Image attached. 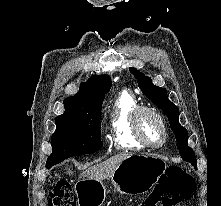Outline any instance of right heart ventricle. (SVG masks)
<instances>
[{
	"label": "right heart ventricle",
	"instance_id": "e07e8e85",
	"mask_svg": "<svg viewBox=\"0 0 221 206\" xmlns=\"http://www.w3.org/2000/svg\"><path fill=\"white\" fill-rule=\"evenodd\" d=\"M139 106L134 95L128 90H121L117 95L110 113V138L113 145L121 150H139L144 146L136 139L132 116Z\"/></svg>",
	"mask_w": 221,
	"mask_h": 206
}]
</instances>
